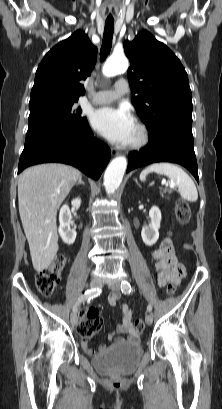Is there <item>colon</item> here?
<instances>
[{
	"label": "colon",
	"mask_w": 222,
	"mask_h": 409,
	"mask_svg": "<svg viewBox=\"0 0 222 409\" xmlns=\"http://www.w3.org/2000/svg\"><path fill=\"white\" fill-rule=\"evenodd\" d=\"M175 217L180 225H185L191 217V210L186 201H178L175 205ZM66 263V257L58 254L51 262L49 267L40 271L36 276L37 290L43 296H52L60 282L61 273ZM167 294L172 295L176 291V285L170 283L167 286ZM83 321L79 327V334L83 339L92 338L102 327V319L99 311L94 307H88L83 312ZM136 328L139 333L144 330L142 318L136 321Z\"/></svg>",
	"instance_id": "obj_1"
}]
</instances>
